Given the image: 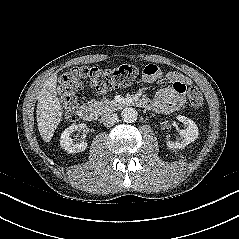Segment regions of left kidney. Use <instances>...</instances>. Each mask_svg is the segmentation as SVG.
<instances>
[{
  "instance_id": "1",
  "label": "left kidney",
  "mask_w": 239,
  "mask_h": 239,
  "mask_svg": "<svg viewBox=\"0 0 239 239\" xmlns=\"http://www.w3.org/2000/svg\"><path fill=\"white\" fill-rule=\"evenodd\" d=\"M177 119L182 122L186 128L180 131V138H178L175 142L170 139L166 141V144L170 149L184 148L188 144L194 142L199 135L198 126L193 120L183 115H178Z\"/></svg>"
}]
</instances>
